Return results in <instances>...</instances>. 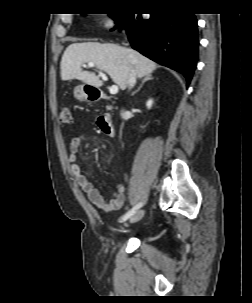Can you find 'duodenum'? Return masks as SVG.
I'll return each mask as SVG.
<instances>
[{
	"instance_id": "1",
	"label": "duodenum",
	"mask_w": 252,
	"mask_h": 303,
	"mask_svg": "<svg viewBox=\"0 0 252 303\" xmlns=\"http://www.w3.org/2000/svg\"><path fill=\"white\" fill-rule=\"evenodd\" d=\"M85 92H86L87 98L89 100H101V99L108 100L109 101V106H108L109 110L111 111L115 108L114 101L110 97L106 96L105 94H103L99 91H95L93 89H86ZM110 119H111L110 112L103 113L98 118V126L107 137L111 138V137H114L115 130H114V126Z\"/></svg>"
}]
</instances>
